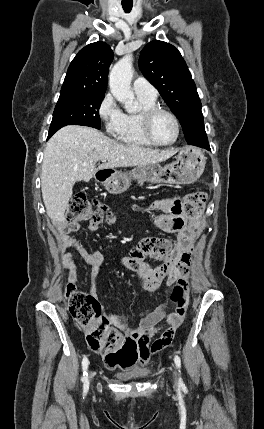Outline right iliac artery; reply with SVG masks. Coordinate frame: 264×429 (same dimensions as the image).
I'll return each instance as SVG.
<instances>
[{
  "label": "right iliac artery",
  "instance_id": "right-iliac-artery-1",
  "mask_svg": "<svg viewBox=\"0 0 264 429\" xmlns=\"http://www.w3.org/2000/svg\"><path fill=\"white\" fill-rule=\"evenodd\" d=\"M88 365H89V361L87 359V357L85 356L82 360V369H83V375H82V382L84 383V390H88L89 387V382H88V373H87V369H88Z\"/></svg>",
  "mask_w": 264,
  "mask_h": 429
}]
</instances>
